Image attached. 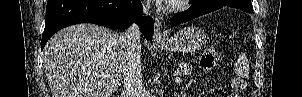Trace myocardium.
Returning a JSON list of instances; mask_svg holds the SVG:
<instances>
[{
	"label": "myocardium",
	"mask_w": 302,
	"mask_h": 97,
	"mask_svg": "<svg viewBox=\"0 0 302 97\" xmlns=\"http://www.w3.org/2000/svg\"><path fill=\"white\" fill-rule=\"evenodd\" d=\"M186 2L187 1L184 0V1H180L178 3L172 4L171 9L174 10V11L182 10L184 8V5H185Z\"/></svg>",
	"instance_id": "myocardium-1"
}]
</instances>
